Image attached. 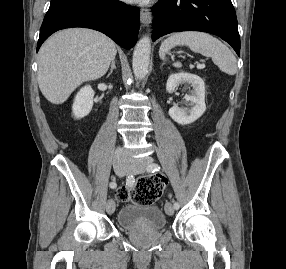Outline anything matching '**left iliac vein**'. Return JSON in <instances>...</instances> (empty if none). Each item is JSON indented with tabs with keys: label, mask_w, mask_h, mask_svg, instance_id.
<instances>
[{
	"label": "left iliac vein",
	"mask_w": 286,
	"mask_h": 269,
	"mask_svg": "<svg viewBox=\"0 0 286 269\" xmlns=\"http://www.w3.org/2000/svg\"><path fill=\"white\" fill-rule=\"evenodd\" d=\"M153 162L151 157H144L138 159H130V170L134 174L143 173L146 170V167ZM165 212L167 215L174 214V207L171 203H166Z\"/></svg>",
	"instance_id": "4c4485c4"
}]
</instances>
